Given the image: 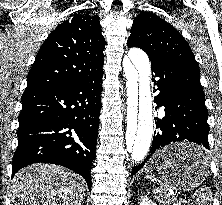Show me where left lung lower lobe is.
Instances as JSON below:
<instances>
[{
    "label": "left lung lower lobe",
    "instance_id": "left-lung-lower-lobe-1",
    "mask_svg": "<svg viewBox=\"0 0 222 205\" xmlns=\"http://www.w3.org/2000/svg\"><path fill=\"white\" fill-rule=\"evenodd\" d=\"M152 80L157 85L158 95L154 97L157 108L164 106L165 117L157 119L156 131L149 155L133 168L132 176L161 147L180 141L195 142L209 148L207 123L208 111L205 95L200 84V72L178 61L150 59ZM159 78V80H155ZM155 90V91H157ZM154 92V91H153ZM208 160L206 150L180 151L173 157L179 165L191 166Z\"/></svg>",
    "mask_w": 222,
    "mask_h": 205
}]
</instances>
